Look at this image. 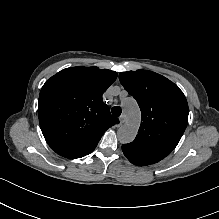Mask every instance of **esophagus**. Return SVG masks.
Segmentation results:
<instances>
[{"label":"esophagus","mask_w":219,"mask_h":219,"mask_svg":"<svg viewBox=\"0 0 219 219\" xmlns=\"http://www.w3.org/2000/svg\"><path fill=\"white\" fill-rule=\"evenodd\" d=\"M125 120H126V117H125L124 114H122V115L119 117V122H120V124H123V123L125 122Z\"/></svg>","instance_id":"obj_1"}]
</instances>
